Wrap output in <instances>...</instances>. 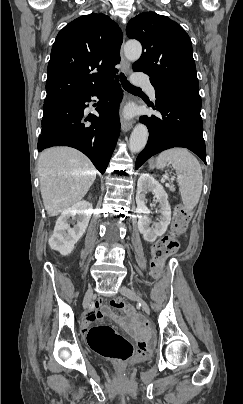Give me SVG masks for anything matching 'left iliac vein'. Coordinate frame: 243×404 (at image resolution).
Returning a JSON list of instances; mask_svg holds the SVG:
<instances>
[{
  "label": "left iliac vein",
  "instance_id": "left-iliac-vein-1",
  "mask_svg": "<svg viewBox=\"0 0 243 404\" xmlns=\"http://www.w3.org/2000/svg\"><path fill=\"white\" fill-rule=\"evenodd\" d=\"M119 292H120L122 295H124V296H126V297H128V298H130V299L136 300V301L139 303V305L141 306L142 310H143L147 315H150V307H149V305L147 304V302H146L144 299H142L141 297H139V296L135 293L134 290H132V289L126 287V286H121L120 289H119Z\"/></svg>",
  "mask_w": 243,
  "mask_h": 404
}]
</instances>
